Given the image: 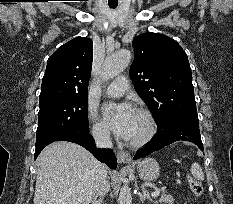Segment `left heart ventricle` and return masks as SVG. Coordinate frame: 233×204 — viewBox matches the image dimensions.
<instances>
[{
	"label": "left heart ventricle",
	"mask_w": 233,
	"mask_h": 204,
	"mask_svg": "<svg viewBox=\"0 0 233 204\" xmlns=\"http://www.w3.org/2000/svg\"><path fill=\"white\" fill-rule=\"evenodd\" d=\"M146 129L145 119L142 115L135 112L131 123L129 140L140 138L146 132Z\"/></svg>",
	"instance_id": "left-heart-ventricle-1"
}]
</instances>
